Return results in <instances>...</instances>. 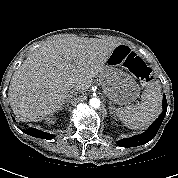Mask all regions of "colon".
I'll list each match as a JSON object with an SVG mask.
<instances>
[{"instance_id":"5ec220e1","label":"colon","mask_w":178,"mask_h":178,"mask_svg":"<svg viewBox=\"0 0 178 178\" xmlns=\"http://www.w3.org/2000/svg\"><path fill=\"white\" fill-rule=\"evenodd\" d=\"M133 74L144 84L151 82L152 76L148 66L139 58H136L130 66Z\"/></svg>"}]
</instances>
